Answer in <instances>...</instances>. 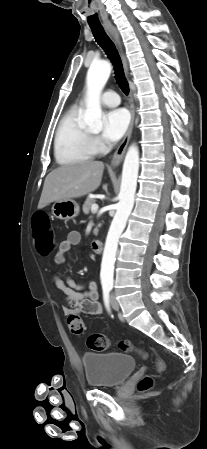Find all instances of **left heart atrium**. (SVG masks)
<instances>
[{
  "label": "left heart atrium",
  "instance_id": "obj_1",
  "mask_svg": "<svg viewBox=\"0 0 207 449\" xmlns=\"http://www.w3.org/2000/svg\"><path fill=\"white\" fill-rule=\"evenodd\" d=\"M129 113L125 109H115L105 115L103 138L108 142L119 140L126 132L129 125Z\"/></svg>",
  "mask_w": 207,
  "mask_h": 449
}]
</instances>
